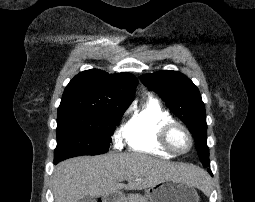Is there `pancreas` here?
<instances>
[{"mask_svg":"<svg viewBox=\"0 0 255 202\" xmlns=\"http://www.w3.org/2000/svg\"><path fill=\"white\" fill-rule=\"evenodd\" d=\"M127 202H148L147 198L140 194H129Z\"/></svg>","mask_w":255,"mask_h":202,"instance_id":"cf45deb5","label":"pancreas"}]
</instances>
